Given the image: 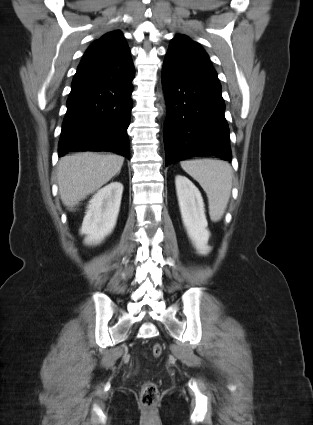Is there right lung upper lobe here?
Wrapping results in <instances>:
<instances>
[{
    "label": "right lung upper lobe",
    "mask_w": 313,
    "mask_h": 425,
    "mask_svg": "<svg viewBox=\"0 0 313 425\" xmlns=\"http://www.w3.org/2000/svg\"><path fill=\"white\" fill-rule=\"evenodd\" d=\"M120 63L132 62L130 50L121 31L115 30L95 40L85 52L81 63Z\"/></svg>",
    "instance_id": "obj_1"
}]
</instances>
